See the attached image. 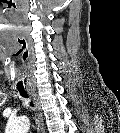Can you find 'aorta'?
Returning <instances> with one entry per match:
<instances>
[{"label":"aorta","mask_w":120,"mask_h":133,"mask_svg":"<svg viewBox=\"0 0 120 133\" xmlns=\"http://www.w3.org/2000/svg\"><path fill=\"white\" fill-rule=\"evenodd\" d=\"M29 128V120L25 117L18 118L10 122L7 126L9 133H21L27 131Z\"/></svg>","instance_id":"1"}]
</instances>
